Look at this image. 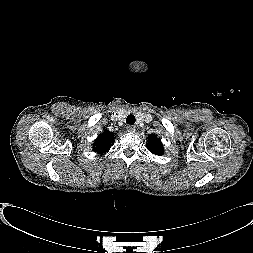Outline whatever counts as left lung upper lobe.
<instances>
[{
  "label": "left lung upper lobe",
  "instance_id": "left-lung-upper-lobe-1",
  "mask_svg": "<svg viewBox=\"0 0 253 253\" xmlns=\"http://www.w3.org/2000/svg\"><path fill=\"white\" fill-rule=\"evenodd\" d=\"M148 150L155 155H162L164 153L163 144L156 135H150L147 143Z\"/></svg>",
  "mask_w": 253,
  "mask_h": 253
}]
</instances>
